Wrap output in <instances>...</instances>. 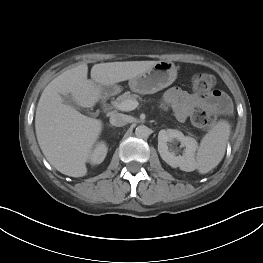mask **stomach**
Returning a JSON list of instances; mask_svg holds the SVG:
<instances>
[{"instance_id": "obj_1", "label": "stomach", "mask_w": 263, "mask_h": 263, "mask_svg": "<svg viewBox=\"0 0 263 263\" xmlns=\"http://www.w3.org/2000/svg\"><path fill=\"white\" fill-rule=\"evenodd\" d=\"M177 77L174 63L166 60L157 61L152 67L129 79V88L139 94L156 93L171 85ZM116 85H101V92H118Z\"/></svg>"}]
</instances>
